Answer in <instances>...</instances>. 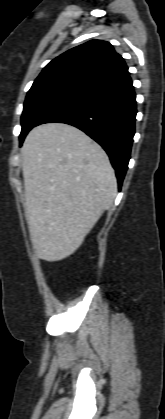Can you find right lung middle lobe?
Returning <instances> with one entry per match:
<instances>
[{
	"instance_id": "dd1d6c3e",
	"label": "right lung middle lobe",
	"mask_w": 165,
	"mask_h": 419,
	"mask_svg": "<svg viewBox=\"0 0 165 419\" xmlns=\"http://www.w3.org/2000/svg\"><path fill=\"white\" fill-rule=\"evenodd\" d=\"M82 95L84 93L81 91L58 86L29 91L21 116L20 145L27 133L43 116Z\"/></svg>"
}]
</instances>
